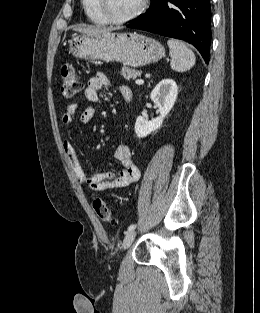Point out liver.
I'll return each instance as SVG.
<instances>
[{
  "instance_id": "6515ba94",
  "label": "liver",
  "mask_w": 260,
  "mask_h": 313,
  "mask_svg": "<svg viewBox=\"0 0 260 313\" xmlns=\"http://www.w3.org/2000/svg\"><path fill=\"white\" fill-rule=\"evenodd\" d=\"M74 30L83 34H93V33L110 32L114 29L113 28H101V27H77Z\"/></svg>"
}]
</instances>
